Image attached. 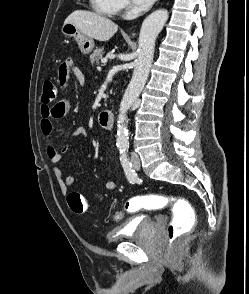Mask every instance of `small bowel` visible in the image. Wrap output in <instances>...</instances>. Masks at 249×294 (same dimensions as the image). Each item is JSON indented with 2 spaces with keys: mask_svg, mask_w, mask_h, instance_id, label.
Listing matches in <instances>:
<instances>
[{
  "mask_svg": "<svg viewBox=\"0 0 249 294\" xmlns=\"http://www.w3.org/2000/svg\"><path fill=\"white\" fill-rule=\"evenodd\" d=\"M68 69L63 71L59 69V82L62 88L67 89L70 80V74H74L76 78L82 82L83 76L81 72L75 67L73 60L67 58ZM71 109V100L69 97L61 98L53 104L42 103L40 107V130L45 138L46 153L48 160L54 165L53 174L55 180L62 193H66L69 188L74 184L75 177L73 175H64L63 170L58 166L62 159V153L69 150V145L56 146L55 144V122L65 117ZM89 138V132L84 127H78L69 134V138ZM104 187L107 191H115L117 189V183L115 181H106Z\"/></svg>",
  "mask_w": 249,
  "mask_h": 294,
  "instance_id": "small-bowel-1",
  "label": "small bowel"
}]
</instances>
